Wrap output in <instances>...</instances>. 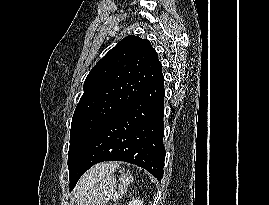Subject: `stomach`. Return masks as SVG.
I'll return each instance as SVG.
<instances>
[{"mask_svg": "<svg viewBox=\"0 0 269 205\" xmlns=\"http://www.w3.org/2000/svg\"><path fill=\"white\" fill-rule=\"evenodd\" d=\"M120 195L116 178L107 174L79 197L77 205H107L110 199Z\"/></svg>", "mask_w": 269, "mask_h": 205, "instance_id": "1", "label": "stomach"}]
</instances>
